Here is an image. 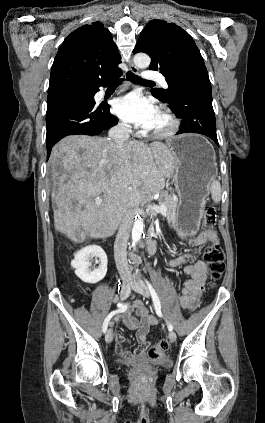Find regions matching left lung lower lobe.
<instances>
[{"label": "left lung lower lobe", "instance_id": "left-lung-lower-lobe-1", "mask_svg": "<svg viewBox=\"0 0 265 423\" xmlns=\"http://www.w3.org/2000/svg\"><path fill=\"white\" fill-rule=\"evenodd\" d=\"M167 83L172 96L170 109L182 119L177 134L199 133L218 145L211 84L205 65L191 67Z\"/></svg>", "mask_w": 265, "mask_h": 423}]
</instances>
